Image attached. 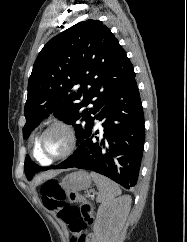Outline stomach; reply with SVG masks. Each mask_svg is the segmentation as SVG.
Instances as JSON below:
<instances>
[{
	"label": "stomach",
	"mask_w": 187,
	"mask_h": 242,
	"mask_svg": "<svg viewBox=\"0 0 187 242\" xmlns=\"http://www.w3.org/2000/svg\"><path fill=\"white\" fill-rule=\"evenodd\" d=\"M62 185L69 191L78 192L90 188L91 178L86 171H77L65 176Z\"/></svg>",
	"instance_id": "obj_1"
}]
</instances>
